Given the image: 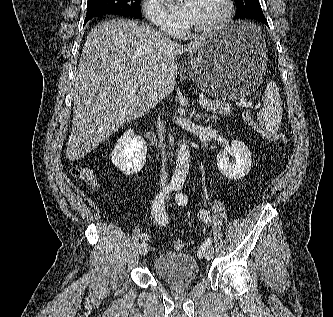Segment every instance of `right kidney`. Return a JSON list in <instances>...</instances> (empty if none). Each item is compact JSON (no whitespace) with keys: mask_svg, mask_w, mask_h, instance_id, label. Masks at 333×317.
<instances>
[{"mask_svg":"<svg viewBox=\"0 0 333 317\" xmlns=\"http://www.w3.org/2000/svg\"><path fill=\"white\" fill-rule=\"evenodd\" d=\"M147 146L140 136L128 129L117 141L111 153L112 163L125 175L138 173L146 162Z\"/></svg>","mask_w":333,"mask_h":317,"instance_id":"1","label":"right kidney"}]
</instances>
